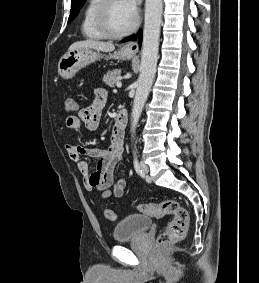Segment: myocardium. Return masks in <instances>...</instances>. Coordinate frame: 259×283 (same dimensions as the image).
I'll list each match as a JSON object with an SVG mask.
<instances>
[{
    "label": "myocardium",
    "mask_w": 259,
    "mask_h": 283,
    "mask_svg": "<svg viewBox=\"0 0 259 283\" xmlns=\"http://www.w3.org/2000/svg\"><path fill=\"white\" fill-rule=\"evenodd\" d=\"M114 0H101L96 12V25L99 32L109 39H121L131 34L139 24L138 15L134 14L133 23L122 32H114L111 30L108 23V11Z\"/></svg>",
    "instance_id": "obj_1"
}]
</instances>
